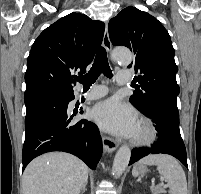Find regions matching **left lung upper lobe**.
I'll return each instance as SVG.
<instances>
[{
    "label": "left lung upper lobe",
    "instance_id": "obj_1",
    "mask_svg": "<svg viewBox=\"0 0 201 194\" xmlns=\"http://www.w3.org/2000/svg\"><path fill=\"white\" fill-rule=\"evenodd\" d=\"M113 45L128 47L134 54L135 80L140 84L130 102L141 112L154 103L166 101L177 104L179 86L175 51L167 30L153 16L128 6L111 19L108 25Z\"/></svg>",
    "mask_w": 201,
    "mask_h": 194
}]
</instances>
